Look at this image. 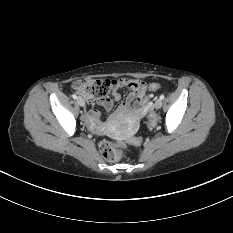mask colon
I'll use <instances>...</instances> for the list:
<instances>
[{
	"label": "colon",
	"instance_id": "5ec220e1",
	"mask_svg": "<svg viewBox=\"0 0 233 233\" xmlns=\"http://www.w3.org/2000/svg\"><path fill=\"white\" fill-rule=\"evenodd\" d=\"M74 88L77 92L84 95L87 99L102 100L107 98L109 94L111 81L108 79H90L85 81H77L74 83ZM161 88L162 86L159 83L149 84L148 90L150 94L145 97L142 103L143 110L148 115L147 125L149 128L155 127L157 123V119L152 113L151 93L156 92ZM131 143L133 145H140L142 143V139L139 137H135L131 139ZM126 150L127 149L124 144H116L109 141H102L99 144V151L101 155L109 161H116L121 159L125 156Z\"/></svg>",
	"mask_w": 233,
	"mask_h": 233
}]
</instances>
